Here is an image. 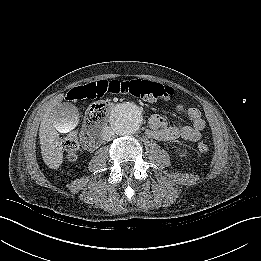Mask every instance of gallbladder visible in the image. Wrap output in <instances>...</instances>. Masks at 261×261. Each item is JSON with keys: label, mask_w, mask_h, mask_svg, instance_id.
Segmentation results:
<instances>
[{"label": "gallbladder", "mask_w": 261, "mask_h": 261, "mask_svg": "<svg viewBox=\"0 0 261 261\" xmlns=\"http://www.w3.org/2000/svg\"><path fill=\"white\" fill-rule=\"evenodd\" d=\"M78 120L79 112L77 108L69 102H63L55 106L50 116L52 127L60 133L71 131Z\"/></svg>", "instance_id": "bac80fb5"}]
</instances>
